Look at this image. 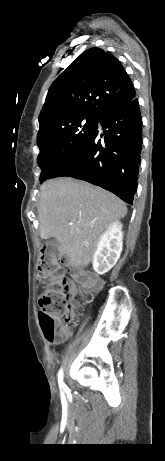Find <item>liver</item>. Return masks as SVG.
<instances>
[{
	"label": "liver",
	"mask_w": 165,
	"mask_h": 461,
	"mask_svg": "<svg viewBox=\"0 0 165 461\" xmlns=\"http://www.w3.org/2000/svg\"><path fill=\"white\" fill-rule=\"evenodd\" d=\"M38 214L41 238H55L62 255L73 265L86 267L103 231L125 217L127 207L100 187L64 177L41 186Z\"/></svg>",
	"instance_id": "obj_1"
}]
</instances>
